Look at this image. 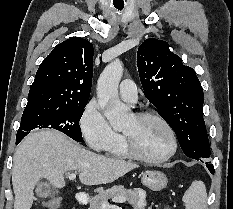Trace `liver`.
I'll return each instance as SVG.
<instances>
[{
  "instance_id": "liver-1",
  "label": "liver",
  "mask_w": 233,
  "mask_h": 209,
  "mask_svg": "<svg viewBox=\"0 0 233 209\" xmlns=\"http://www.w3.org/2000/svg\"><path fill=\"white\" fill-rule=\"evenodd\" d=\"M138 165L91 152L55 130L29 134L17 147L12 168L14 209H30L41 178L53 187L65 185L66 172H79L82 184L111 183Z\"/></svg>"
}]
</instances>
